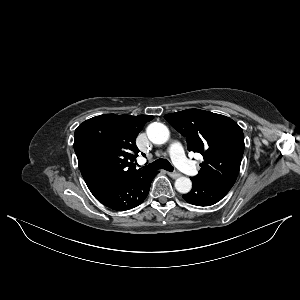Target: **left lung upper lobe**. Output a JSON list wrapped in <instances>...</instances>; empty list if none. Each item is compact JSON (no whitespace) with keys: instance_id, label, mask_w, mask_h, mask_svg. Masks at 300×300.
Returning <instances> with one entry per match:
<instances>
[{"instance_id":"1","label":"left lung upper lobe","mask_w":300,"mask_h":300,"mask_svg":"<svg viewBox=\"0 0 300 300\" xmlns=\"http://www.w3.org/2000/svg\"><path fill=\"white\" fill-rule=\"evenodd\" d=\"M164 118L186 137L189 151L203 155L204 162L194 178L230 190L244 152L241 127L226 116L199 109L170 113Z\"/></svg>"}]
</instances>
